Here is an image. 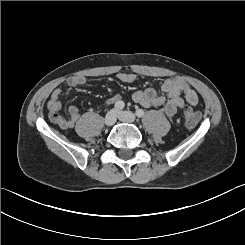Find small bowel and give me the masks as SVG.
I'll return each mask as SVG.
<instances>
[{
	"instance_id": "obj_1",
	"label": "small bowel",
	"mask_w": 245,
	"mask_h": 245,
	"mask_svg": "<svg viewBox=\"0 0 245 245\" xmlns=\"http://www.w3.org/2000/svg\"><path fill=\"white\" fill-rule=\"evenodd\" d=\"M117 78L123 83H132L136 80L133 73H118ZM67 85L75 88L85 84L84 76H72L67 79ZM62 90L56 88L52 91L50 99L47 103L49 120L59 126L61 129H71L78 121L80 114L75 106L68 107V116L63 117L60 114ZM184 96V98L182 97ZM133 100L144 107H159L164 105V112L167 117H174L177 112L184 108L185 103L196 106L199 98L192 87L180 77H169L161 85V93L154 88H146L137 90L132 95ZM121 101L119 95H113L107 99V104H116Z\"/></svg>"
}]
</instances>
